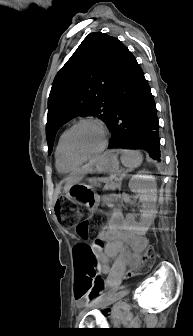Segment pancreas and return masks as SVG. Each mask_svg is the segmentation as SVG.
Instances as JSON below:
<instances>
[{"mask_svg": "<svg viewBox=\"0 0 193 336\" xmlns=\"http://www.w3.org/2000/svg\"><path fill=\"white\" fill-rule=\"evenodd\" d=\"M119 185H121L120 178H116L114 181H110L106 184L105 188L103 189L104 203L109 204V202L116 201L115 198L111 197V194ZM110 209H113V206H110Z\"/></svg>", "mask_w": 193, "mask_h": 336, "instance_id": "obj_1", "label": "pancreas"}]
</instances>
